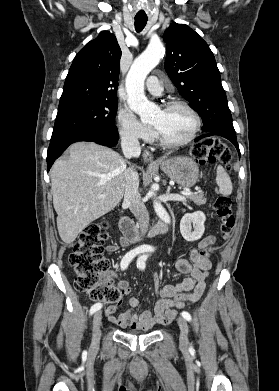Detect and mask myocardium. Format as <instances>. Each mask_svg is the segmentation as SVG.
<instances>
[{
    "instance_id": "myocardium-1",
    "label": "myocardium",
    "mask_w": 279,
    "mask_h": 391,
    "mask_svg": "<svg viewBox=\"0 0 279 391\" xmlns=\"http://www.w3.org/2000/svg\"><path fill=\"white\" fill-rule=\"evenodd\" d=\"M173 107H183L186 109L194 118V127L191 133L185 139L181 141H170L164 137V135L156 126L152 125L156 139L162 146L167 148H178L190 143L199 132L202 124L201 117L198 112L186 101L170 100L163 104L162 110H168Z\"/></svg>"
}]
</instances>
